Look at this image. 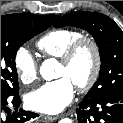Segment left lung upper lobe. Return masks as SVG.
Returning <instances> with one entry per match:
<instances>
[{
  "instance_id": "5c2ea615",
  "label": "left lung upper lobe",
  "mask_w": 123,
  "mask_h": 123,
  "mask_svg": "<svg viewBox=\"0 0 123 123\" xmlns=\"http://www.w3.org/2000/svg\"><path fill=\"white\" fill-rule=\"evenodd\" d=\"M75 26L88 31L96 40L101 57L97 82L85 98L123 92V32L108 16L93 12H74L60 18L55 28Z\"/></svg>"
}]
</instances>
